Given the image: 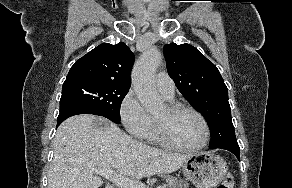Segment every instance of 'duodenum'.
<instances>
[{"instance_id":"410a0bca","label":"duodenum","mask_w":292,"mask_h":188,"mask_svg":"<svg viewBox=\"0 0 292 188\" xmlns=\"http://www.w3.org/2000/svg\"><path fill=\"white\" fill-rule=\"evenodd\" d=\"M105 188H114L113 186H106Z\"/></svg>"}]
</instances>
